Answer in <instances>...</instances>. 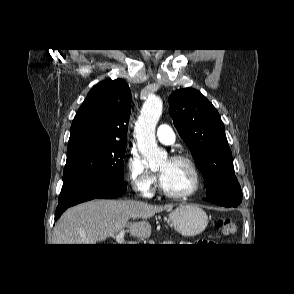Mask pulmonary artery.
<instances>
[{
  "label": "pulmonary artery",
  "instance_id": "pulmonary-artery-1",
  "mask_svg": "<svg viewBox=\"0 0 294 294\" xmlns=\"http://www.w3.org/2000/svg\"><path fill=\"white\" fill-rule=\"evenodd\" d=\"M157 139L166 145H170L175 141L174 133L168 124H161L158 126Z\"/></svg>",
  "mask_w": 294,
  "mask_h": 294
}]
</instances>
